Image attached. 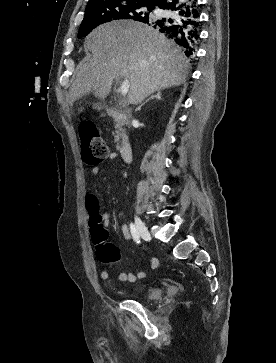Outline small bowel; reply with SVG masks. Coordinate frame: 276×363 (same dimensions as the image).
I'll use <instances>...</instances> for the list:
<instances>
[{"instance_id":"obj_1","label":"small bowel","mask_w":276,"mask_h":363,"mask_svg":"<svg viewBox=\"0 0 276 363\" xmlns=\"http://www.w3.org/2000/svg\"><path fill=\"white\" fill-rule=\"evenodd\" d=\"M116 158V154L111 153L110 154V159H115ZM91 173L93 175H97L99 173V168L98 167H93L91 169ZM98 205V199L97 196L95 194H89L87 197V202H86V206L87 208L90 209H96ZM100 218L102 220V224L103 226L107 227L110 224V214L108 213H102L100 214ZM120 229L124 235V237L126 239H130L131 235L129 232L128 227L125 224H121L120 225ZM150 269L154 270L158 267L159 265V261L156 257H151L150 262ZM147 272L146 271H138V272H119L116 275V279L120 282H136L137 280L143 279L147 276ZM100 278L102 280H109L111 278V274L108 270L104 269L100 272Z\"/></svg>"}]
</instances>
